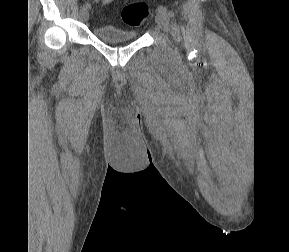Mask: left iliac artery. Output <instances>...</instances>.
<instances>
[{
	"label": "left iliac artery",
	"instance_id": "1",
	"mask_svg": "<svg viewBox=\"0 0 289 252\" xmlns=\"http://www.w3.org/2000/svg\"><path fill=\"white\" fill-rule=\"evenodd\" d=\"M157 10H158V12L165 14L168 18H171L173 16V13L168 11V9L162 5H159L157 7Z\"/></svg>",
	"mask_w": 289,
	"mask_h": 252
}]
</instances>
